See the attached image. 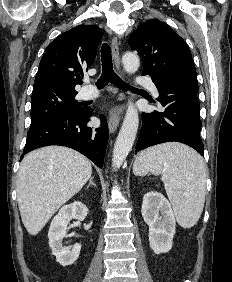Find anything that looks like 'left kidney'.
<instances>
[{"label": "left kidney", "mask_w": 232, "mask_h": 282, "mask_svg": "<svg viewBox=\"0 0 232 282\" xmlns=\"http://www.w3.org/2000/svg\"><path fill=\"white\" fill-rule=\"evenodd\" d=\"M141 212L149 226L150 248L156 254L168 252L172 248L176 226L169 201L161 193L150 191L143 197Z\"/></svg>", "instance_id": "5707ae66"}]
</instances>
